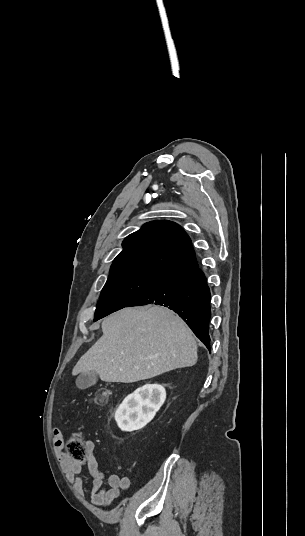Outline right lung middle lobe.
Instances as JSON below:
<instances>
[{"label": "right lung middle lobe", "mask_w": 305, "mask_h": 536, "mask_svg": "<svg viewBox=\"0 0 305 536\" xmlns=\"http://www.w3.org/2000/svg\"><path fill=\"white\" fill-rule=\"evenodd\" d=\"M164 278L165 276L140 274L108 277L97 304L94 321L127 307Z\"/></svg>", "instance_id": "dd1d6c3e"}]
</instances>
